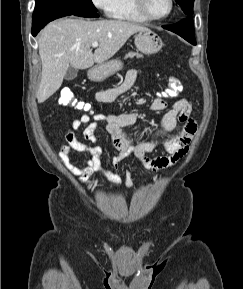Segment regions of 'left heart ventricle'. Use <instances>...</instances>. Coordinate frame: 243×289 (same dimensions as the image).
<instances>
[{
  "label": "left heart ventricle",
  "instance_id": "b2bd125f",
  "mask_svg": "<svg viewBox=\"0 0 243 289\" xmlns=\"http://www.w3.org/2000/svg\"><path fill=\"white\" fill-rule=\"evenodd\" d=\"M148 11L154 16L165 15L169 10V0H146Z\"/></svg>",
  "mask_w": 243,
  "mask_h": 289
}]
</instances>
